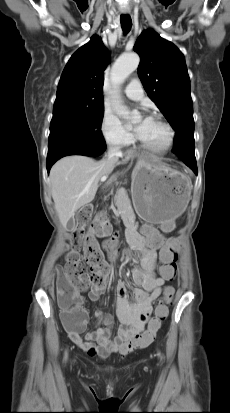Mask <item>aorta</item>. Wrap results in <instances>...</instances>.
<instances>
[{
    "instance_id": "aorta-1",
    "label": "aorta",
    "mask_w": 230,
    "mask_h": 413,
    "mask_svg": "<svg viewBox=\"0 0 230 413\" xmlns=\"http://www.w3.org/2000/svg\"><path fill=\"white\" fill-rule=\"evenodd\" d=\"M140 62V58L135 53L124 54L120 56L112 66L111 70V81L114 87L115 95V110L116 113L123 117H128L130 115L129 110L122 104L119 95L118 87L121 85L125 79L137 69Z\"/></svg>"
}]
</instances>
